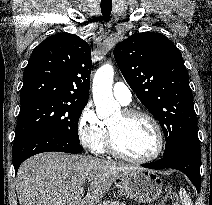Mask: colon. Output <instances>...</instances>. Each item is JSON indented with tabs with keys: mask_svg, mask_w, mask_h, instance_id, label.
<instances>
[{
	"mask_svg": "<svg viewBox=\"0 0 212 205\" xmlns=\"http://www.w3.org/2000/svg\"><path fill=\"white\" fill-rule=\"evenodd\" d=\"M162 205H179L178 196L175 191L168 190L163 198Z\"/></svg>",
	"mask_w": 212,
	"mask_h": 205,
	"instance_id": "colon-1",
	"label": "colon"
}]
</instances>
